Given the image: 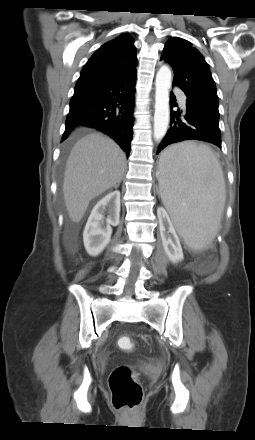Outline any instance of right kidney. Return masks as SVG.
Listing matches in <instances>:
<instances>
[{"label":"right kidney","instance_id":"1","mask_svg":"<svg viewBox=\"0 0 255 440\" xmlns=\"http://www.w3.org/2000/svg\"><path fill=\"white\" fill-rule=\"evenodd\" d=\"M108 211L106 226H104V212ZM120 192L113 191L103 197L94 206L83 232V242L87 253L91 256L99 255L110 242L112 227L119 224Z\"/></svg>","mask_w":255,"mask_h":440}]
</instances>
